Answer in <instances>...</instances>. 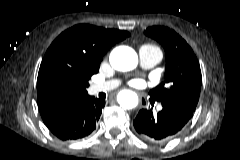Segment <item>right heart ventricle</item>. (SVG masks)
<instances>
[{
	"instance_id": "right-heart-ventricle-1",
	"label": "right heart ventricle",
	"mask_w": 240,
	"mask_h": 160,
	"mask_svg": "<svg viewBox=\"0 0 240 160\" xmlns=\"http://www.w3.org/2000/svg\"><path fill=\"white\" fill-rule=\"evenodd\" d=\"M146 46L153 47L152 45H146ZM153 48H155V47H153Z\"/></svg>"
}]
</instances>
